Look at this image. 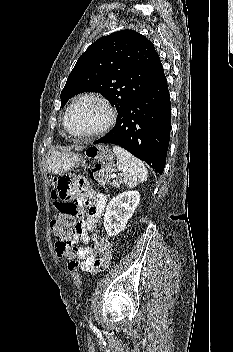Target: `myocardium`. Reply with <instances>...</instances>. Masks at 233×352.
Masks as SVG:
<instances>
[{"label":"myocardium","mask_w":233,"mask_h":352,"mask_svg":"<svg viewBox=\"0 0 233 352\" xmlns=\"http://www.w3.org/2000/svg\"><path fill=\"white\" fill-rule=\"evenodd\" d=\"M84 100H92V101L99 103L106 111V118H105L104 122L96 129H94L90 132H87V133H79V132H76L73 130V128L70 124V115H71L72 109L79 102L84 101ZM115 120H116V113L114 111V108L110 104V102L98 94L89 93V94H84V95L77 97L69 105V107L66 111V114H65V127H66L67 131L71 135H73L74 137L81 138V139H89V138L97 137V136L103 134L104 132H106L107 130H109L113 126Z\"/></svg>","instance_id":"f54148a6"}]
</instances>
